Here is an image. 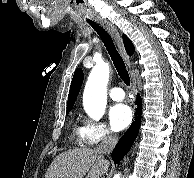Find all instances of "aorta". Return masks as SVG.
<instances>
[{
    "instance_id": "obj_1",
    "label": "aorta",
    "mask_w": 194,
    "mask_h": 178,
    "mask_svg": "<svg viewBox=\"0 0 194 178\" xmlns=\"http://www.w3.org/2000/svg\"><path fill=\"white\" fill-rule=\"evenodd\" d=\"M109 72L107 63H97L92 69L84 89L83 106L86 113L94 120L101 119L105 112ZM113 178H120L119 174Z\"/></svg>"
}]
</instances>
